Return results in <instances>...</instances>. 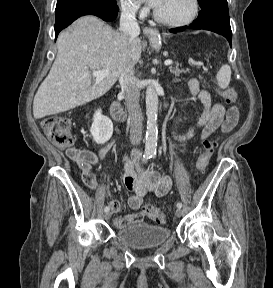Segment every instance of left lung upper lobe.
<instances>
[{"mask_svg": "<svg viewBox=\"0 0 273 288\" xmlns=\"http://www.w3.org/2000/svg\"><path fill=\"white\" fill-rule=\"evenodd\" d=\"M202 10L210 9L212 7L227 4V0H198Z\"/></svg>", "mask_w": 273, "mask_h": 288, "instance_id": "1", "label": "left lung upper lobe"}]
</instances>
